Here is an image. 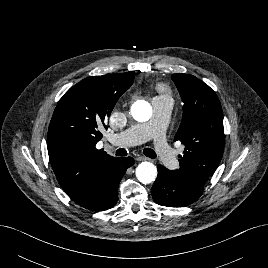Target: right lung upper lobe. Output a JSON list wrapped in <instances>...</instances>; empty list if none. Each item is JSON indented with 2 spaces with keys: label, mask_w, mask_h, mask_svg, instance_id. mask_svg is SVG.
Wrapping results in <instances>:
<instances>
[{
  "label": "right lung upper lobe",
  "mask_w": 268,
  "mask_h": 268,
  "mask_svg": "<svg viewBox=\"0 0 268 268\" xmlns=\"http://www.w3.org/2000/svg\"><path fill=\"white\" fill-rule=\"evenodd\" d=\"M134 74L87 77L71 87L55 108L47 134L49 159L60 186L75 203L88 196L98 176L117 159L98 150L96 143Z\"/></svg>",
  "instance_id": "cb5924a9"
}]
</instances>
